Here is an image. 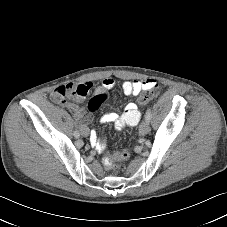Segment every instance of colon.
I'll return each instance as SVG.
<instances>
[{
    "label": "colon",
    "mask_w": 227,
    "mask_h": 227,
    "mask_svg": "<svg viewBox=\"0 0 227 227\" xmlns=\"http://www.w3.org/2000/svg\"><path fill=\"white\" fill-rule=\"evenodd\" d=\"M79 90H80V87L74 86L73 84L63 85L56 89L55 98L56 99L65 98L71 94H74L75 92H78ZM157 91H158V85L154 81L153 85L149 89H147L146 92L140 97L139 102L143 104L153 99L157 95ZM107 96L108 95L105 93H100L94 96L89 102V105H88L89 111L95 112L98 109H100V107L107 99ZM128 155H129L128 152L120 153L119 149H113L112 154L107 152L105 153L104 162L107 166H114L115 160L124 159L128 157Z\"/></svg>",
    "instance_id": "1"
}]
</instances>
